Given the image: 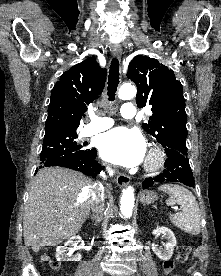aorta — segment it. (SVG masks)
<instances>
[{
  "instance_id": "aorta-1",
  "label": "aorta",
  "mask_w": 221,
  "mask_h": 276,
  "mask_svg": "<svg viewBox=\"0 0 221 276\" xmlns=\"http://www.w3.org/2000/svg\"><path fill=\"white\" fill-rule=\"evenodd\" d=\"M136 95V88L132 84H123L119 91L118 96L120 99H131ZM134 189L129 186L122 191V197L120 200V211L125 218H130L134 207Z\"/></svg>"
}]
</instances>
